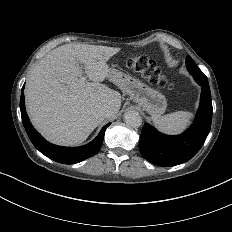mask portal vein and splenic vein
I'll return each mask as SVG.
<instances>
[{
    "instance_id": "portal-vein-and-splenic-vein-1",
    "label": "portal vein and splenic vein",
    "mask_w": 232,
    "mask_h": 232,
    "mask_svg": "<svg viewBox=\"0 0 232 232\" xmlns=\"http://www.w3.org/2000/svg\"><path fill=\"white\" fill-rule=\"evenodd\" d=\"M82 69H85V67H82ZM81 81H86V76L85 75L81 76Z\"/></svg>"
}]
</instances>
